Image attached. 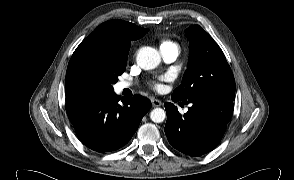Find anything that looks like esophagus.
Returning a JSON list of instances; mask_svg holds the SVG:
<instances>
[{
  "mask_svg": "<svg viewBox=\"0 0 294 180\" xmlns=\"http://www.w3.org/2000/svg\"><path fill=\"white\" fill-rule=\"evenodd\" d=\"M151 103H152L153 107H159V106L162 105V102L160 100H158V99H152Z\"/></svg>",
  "mask_w": 294,
  "mask_h": 180,
  "instance_id": "1",
  "label": "esophagus"
}]
</instances>
